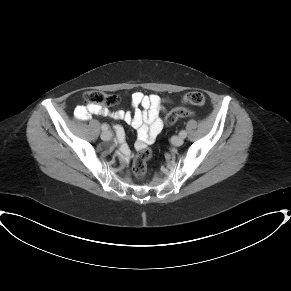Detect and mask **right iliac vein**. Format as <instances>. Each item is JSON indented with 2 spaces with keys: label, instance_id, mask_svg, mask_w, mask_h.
I'll use <instances>...</instances> for the list:
<instances>
[{
  "label": "right iliac vein",
  "instance_id": "1",
  "mask_svg": "<svg viewBox=\"0 0 291 291\" xmlns=\"http://www.w3.org/2000/svg\"><path fill=\"white\" fill-rule=\"evenodd\" d=\"M101 138L103 140H110L112 138V134L109 131L102 132Z\"/></svg>",
  "mask_w": 291,
  "mask_h": 291
}]
</instances>
